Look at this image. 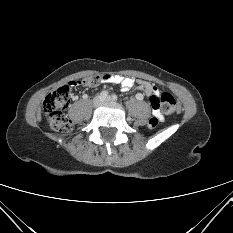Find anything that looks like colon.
Returning a JSON list of instances; mask_svg holds the SVG:
<instances>
[{
  "label": "colon",
  "mask_w": 233,
  "mask_h": 233,
  "mask_svg": "<svg viewBox=\"0 0 233 233\" xmlns=\"http://www.w3.org/2000/svg\"><path fill=\"white\" fill-rule=\"evenodd\" d=\"M101 75H92L83 78L84 87H95L101 83L99 80ZM71 102V89L68 84L62 85L52 90L43 102V110L48 118L50 127L58 132H69L73 129V122L65 115L64 111ZM151 104L157 107L160 112L169 116L177 109V102L174 96L168 92L162 93L160 96L151 99ZM159 121L156 117H152L148 121L149 128H155Z\"/></svg>",
  "instance_id": "obj_1"
}]
</instances>
